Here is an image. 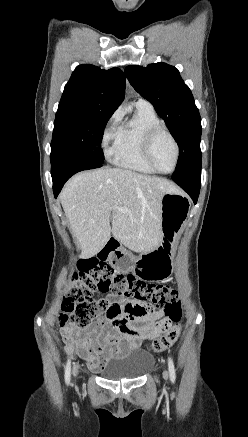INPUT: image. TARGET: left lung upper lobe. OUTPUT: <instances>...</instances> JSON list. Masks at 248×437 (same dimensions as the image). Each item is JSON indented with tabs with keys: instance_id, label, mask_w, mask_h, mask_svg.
I'll return each mask as SVG.
<instances>
[{
	"instance_id": "obj_1",
	"label": "left lung upper lobe",
	"mask_w": 248,
	"mask_h": 437,
	"mask_svg": "<svg viewBox=\"0 0 248 437\" xmlns=\"http://www.w3.org/2000/svg\"><path fill=\"white\" fill-rule=\"evenodd\" d=\"M134 89L155 108L179 146L174 181L201 177V118L193 95L179 71L166 63L127 66Z\"/></svg>"
}]
</instances>
